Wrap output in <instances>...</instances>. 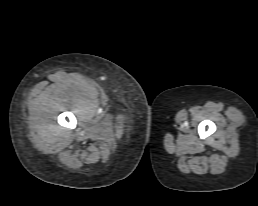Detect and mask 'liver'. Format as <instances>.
Here are the masks:
<instances>
[{
    "mask_svg": "<svg viewBox=\"0 0 258 206\" xmlns=\"http://www.w3.org/2000/svg\"><path fill=\"white\" fill-rule=\"evenodd\" d=\"M44 96H45V93L42 94V97H44Z\"/></svg>",
    "mask_w": 258,
    "mask_h": 206,
    "instance_id": "1",
    "label": "liver"
}]
</instances>
